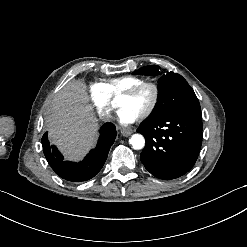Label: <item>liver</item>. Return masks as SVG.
Segmentation results:
<instances>
[{
  "instance_id": "6515ba94",
  "label": "liver",
  "mask_w": 247,
  "mask_h": 247,
  "mask_svg": "<svg viewBox=\"0 0 247 247\" xmlns=\"http://www.w3.org/2000/svg\"><path fill=\"white\" fill-rule=\"evenodd\" d=\"M87 86L70 81L59 91L46 118L48 138L66 160L79 161L94 148L98 139V119L89 104Z\"/></svg>"
}]
</instances>
